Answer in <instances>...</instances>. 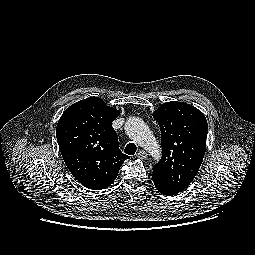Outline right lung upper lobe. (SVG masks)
Instances as JSON below:
<instances>
[{"mask_svg": "<svg viewBox=\"0 0 255 255\" xmlns=\"http://www.w3.org/2000/svg\"><path fill=\"white\" fill-rule=\"evenodd\" d=\"M120 112L98 97L68 107L56 127L61 155L71 174L93 190L107 188L116 179L128 155L118 145L112 122Z\"/></svg>", "mask_w": 255, "mask_h": 255, "instance_id": "cb5924a9", "label": "right lung upper lobe"}]
</instances>
